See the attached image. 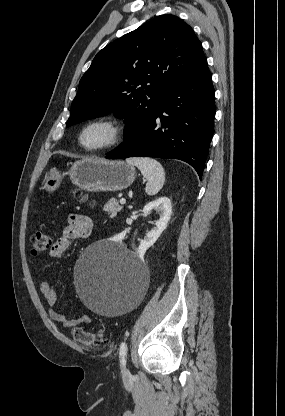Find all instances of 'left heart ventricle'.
<instances>
[{"mask_svg":"<svg viewBox=\"0 0 285 416\" xmlns=\"http://www.w3.org/2000/svg\"><path fill=\"white\" fill-rule=\"evenodd\" d=\"M109 138L106 128L95 126L87 130L83 137V144L88 148H96L104 145Z\"/></svg>","mask_w":285,"mask_h":416,"instance_id":"left-heart-ventricle-1","label":"left heart ventricle"}]
</instances>
